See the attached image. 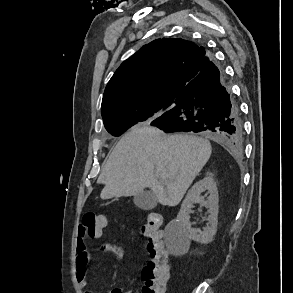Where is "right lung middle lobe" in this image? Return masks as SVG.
<instances>
[{
	"label": "right lung middle lobe",
	"instance_id": "right-lung-middle-lobe-1",
	"mask_svg": "<svg viewBox=\"0 0 293 293\" xmlns=\"http://www.w3.org/2000/svg\"><path fill=\"white\" fill-rule=\"evenodd\" d=\"M175 99L176 98L163 101L156 108L107 117L103 119L105 128L111 135L120 136L138 122L154 120L166 111L172 109L175 106Z\"/></svg>",
	"mask_w": 293,
	"mask_h": 293
}]
</instances>
